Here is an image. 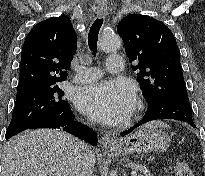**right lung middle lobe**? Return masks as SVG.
Masks as SVG:
<instances>
[{
  "mask_svg": "<svg viewBox=\"0 0 205 176\" xmlns=\"http://www.w3.org/2000/svg\"><path fill=\"white\" fill-rule=\"evenodd\" d=\"M63 95L64 92L58 85L18 94L5 138L9 139L44 119L67 111L70 107L68 102L62 99Z\"/></svg>",
  "mask_w": 205,
  "mask_h": 176,
  "instance_id": "obj_1",
  "label": "right lung middle lobe"
}]
</instances>
